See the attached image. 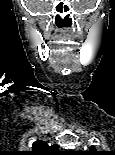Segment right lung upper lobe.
<instances>
[{
	"mask_svg": "<svg viewBox=\"0 0 115 155\" xmlns=\"http://www.w3.org/2000/svg\"><path fill=\"white\" fill-rule=\"evenodd\" d=\"M28 155H59L58 145L49 146L44 141H35Z\"/></svg>",
	"mask_w": 115,
	"mask_h": 155,
	"instance_id": "right-lung-upper-lobe-1",
	"label": "right lung upper lobe"
}]
</instances>
